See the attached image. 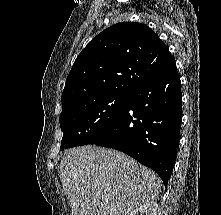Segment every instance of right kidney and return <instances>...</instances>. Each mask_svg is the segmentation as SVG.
Wrapping results in <instances>:
<instances>
[{
	"instance_id": "obj_1",
	"label": "right kidney",
	"mask_w": 221,
	"mask_h": 215,
	"mask_svg": "<svg viewBox=\"0 0 221 215\" xmlns=\"http://www.w3.org/2000/svg\"><path fill=\"white\" fill-rule=\"evenodd\" d=\"M157 209V203L150 201L132 210L128 215H157Z\"/></svg>"
}]
</instances>
